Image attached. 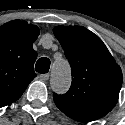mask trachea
Here are the masks:
<instances>
[{
	"label": "trachea",
	"instance_id": "obj_1",
	"mask_svg": "<svg viewBox=\"0 0 125 125\" xmlns=\"http://www.w3.org/2000/svg\"><path fill=\"white\" fill-rule=\"evenodd\" d=\"M49 69H50V60L46 57L40 58L35 65V70L41 74L47 73Z\"/></svg>",
	"mask_w": 125,
	"mask_h": 125
}]
</instances>
